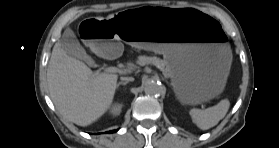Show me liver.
Masks as SVG:
<instances>
[{
  "mask_svg": "<svg viewBox=\"0 0 279 148\" xmlns=\"http://www.w3.org/2000/svg\"><path fill=\"white\" fill-rule=\"evenodd\" d=\"M117 79L116 74L93 72L58 42L54 45L47 69L48 88L56 109L68 121L88 126L99 119L113 102Z\"/></svg>",
  "mask_w": 279,
  "mask_h": 148,
  "instance_id": "6515ba94",
  "label": "liver"
}]
</instances>
